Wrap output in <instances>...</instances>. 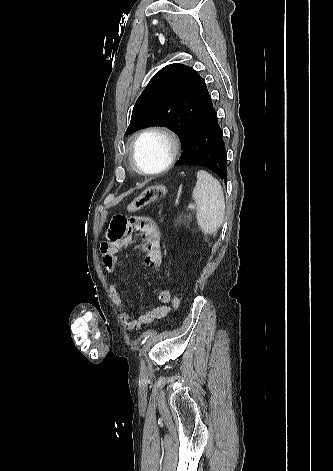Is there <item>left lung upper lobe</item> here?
Listing matches in <instances>:
<instances>
[{
  "label": "left lung upper lobe",
  "instance_id": "obj_1",
  "mask_svg": "<svg viewBox=\"0 0 333 471\" xmlns=\"http://www.w3.org/2000/svg\"><path fill=\"white\" fill-rule=\"evenodd\" d=\"M211 101L205 80L191 67L174 63L157 72L137 99L125 136L154 125L173 129L186 147Z\"/></svg>",
  "mask_w": 333,
  "mask_h": 471
}]
</instances>
